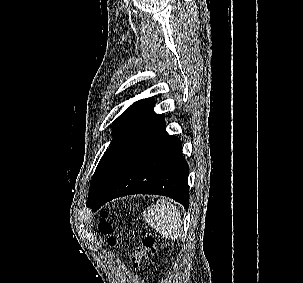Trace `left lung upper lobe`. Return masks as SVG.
<instances>
[{"mask_svg": "<svg viewBox=\"0 0 303 283\" xmlns=\"http://www.w3.org/2000/svg\"><path fill=\"white\" fill-rule=\"evenodd\" d=\"M153 104L154 99L151 97L134 102L114 121L112 125L114 139L106 153L100 159L95 170L91 181L89 196L93 195L103 184L117 160L119 153L132 137Z\"/></svg>", "mask_w": 303, "mask_h": 283, "instance_id": "obj_1", "label": "left lung upper lobe"}]
</instances>
